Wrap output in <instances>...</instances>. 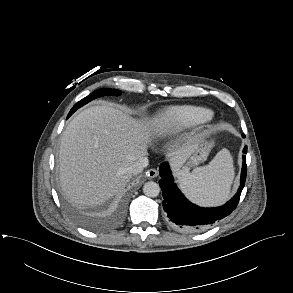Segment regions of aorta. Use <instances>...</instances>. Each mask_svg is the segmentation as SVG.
Returning <instances> with one entry per match:
<instances>
[{"label": "aorta", "mask_w": 293, "mask_h": 293, "mask_svg": "<svg viewBox=\"0 0 293 293\" xmlns=\"http://www.w3.org/2000/svg\"><path fill=\"white\" fill-rule=\"evenodd\" d=\"M143 193L147 197H151V198L157 197L160 193V186L159 184L153 181L146 182L143 186Z\"/></svg>", "instance_id": "obj_1"}]
</instances>
